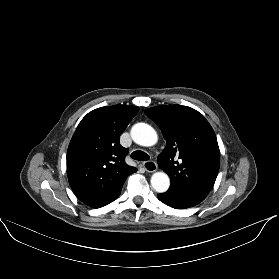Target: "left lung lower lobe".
Here are the masks:
<instances>
[{"label": "left lung lower lobe", "instance_id": "1", "mask_svg": "<svg viewBox=\"0 0 279 279\" xmlns=\"http://www.w3.org/2000/svg\"><path fill=\"white\" fill-rule=\"evenodd\" d=\"M157 196L161 202L176 209L193 207L203 201L201 198L169 189Z\"/></svg>", "mask_w": 279, "mask_h": 279}]
</instances>
